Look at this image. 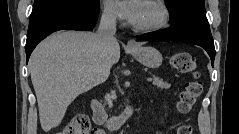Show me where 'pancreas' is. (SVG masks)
<instances>
[{"instance_id":"cf45deb5","label":"pancreas","mask_w":239,"mask_h":134,"mask_svg":"<svg viewBox=\"0 0 239 134\" xmlns=\"http://www.w3.org/2000/svg\"><path fill=\"white\" fill-rule=\"evenodd\" d=\"M153 84L158 88V89H169L171 84L156 77V76H153ZM116 97L115 95V92L114 91H111V94H108L105 99L106 101L108 102V104H111L112 103V100Z\"/></svg>"}]
</instances>
